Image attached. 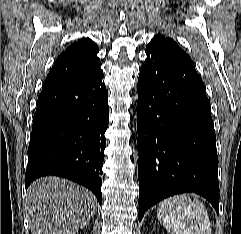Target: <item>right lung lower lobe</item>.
<instances>
[{"label": "right lung lower lobe", "instance_id": "obj_1", "mask_svg": "<svg viewBox=\"0 0 241 234\" xmlns=\"http://www.w3.org/2000/svg\"><path fill=\"white\" fill-rule=\"evenodd\" d=\"M103 71L42 89L33 118L25 174L35 179L55 175L89 188L102 202V167L109 123L108 91Z\"/></svg>", "mask_w": 241, "mask_h": 234}]
</instances>
